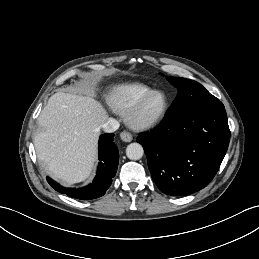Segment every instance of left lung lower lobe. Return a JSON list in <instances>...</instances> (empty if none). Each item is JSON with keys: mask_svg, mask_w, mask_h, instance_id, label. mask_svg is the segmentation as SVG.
<instances>
[{"mask_svg": "<svg viewBox=\"0 0 259 259\" xmlns=\"http://www.w3.org/2000/svg\"><path fill=\"white\" fill-rule=\"evenodd\" d=\"M230 141L222 102L166 116L139 135L152 178L165 194L185 196L206 187L216 175Z\"/></svg>", "mask_w": 259, "mask_h": 259, "instance_id": "1", "label": "left lung lower lobe"}]
</instances>
